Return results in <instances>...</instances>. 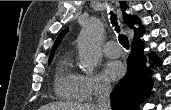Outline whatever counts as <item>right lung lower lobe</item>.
Masks as SVG:
<instances>
[{
    "label": "right lung lower lobe",
    "mask_w": 171,
    "mask_h": 110,
    "mask_svg": "<svg viewBox=\"0 0 171 110\" xmlns=\"http://www.w3.org/2000/svg\"><path fill=\"white\" fill-rule=\"evenodd\" d=\"M149 56L155 65L161 63L153 53ZM145 61L143 43L137 38L132 43L128 57V72L110 95L112 104L119 102L120 110H136V107L149 97L153 83L149 78V67L145 66Z\"/></svg>",
    "instance_id": "1"
}]
</instances>
